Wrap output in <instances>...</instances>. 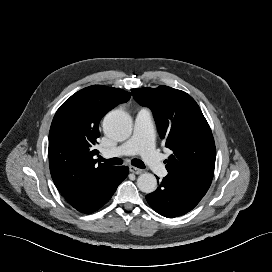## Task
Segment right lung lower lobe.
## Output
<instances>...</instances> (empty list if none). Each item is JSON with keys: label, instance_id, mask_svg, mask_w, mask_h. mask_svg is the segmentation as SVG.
Returning a JSON list of instances; mask_svg holds the SVG:
<instances>
[{"label": "right lung lower lobe", "instance_id": "1", "mask_svg": "<svg viewBox=\"0 0 272 272\" xmlns=\"http://www.w3.org/2000/svg\"><path fill=\"white\" fill-rule=\"evenodd\" d=\"M128 167H117L116 171L100 185L86 194L69 200L76 210L90 214L105 205L116 191L118 185L127 177Z\"/></svg>", "mask_w": 272, "mask_h": 272}]
</instances>
